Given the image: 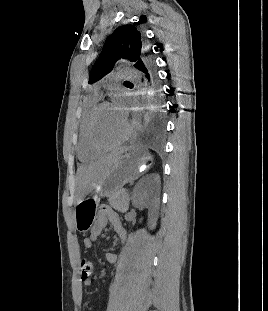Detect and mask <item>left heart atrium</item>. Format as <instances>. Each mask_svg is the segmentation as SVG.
<instances>
[{"label": "left heart atrium", "mask_w": 268, "mask_h": 311, "mask_svg": "<svg viewBox=\"0 0 268 311\" xmlns=\"http://www.w3.org/2000/svg\"><path fill=\"white\" fill-rule=\"evenodd\" d=\"M112 106L126 120L127 108L125 106V103H124L123 99L120 96H117V97L114 98Z\"/></svg>", "instance_id": "left-heart-atrium-1"}]
</instances>
